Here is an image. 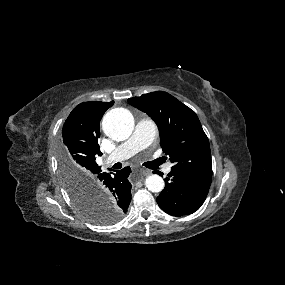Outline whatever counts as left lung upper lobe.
Here are the masks:
<instances>
[{
	"mask_svg": "<svg viewBox=\"0 0 285 285\" xmlns=\"http://www.w3.org/2000/svg\"><path fill=\"white\" fill-rule=\"evenodd\" d=\"M128 102L157 124L161 147L174 164L171 170L212 178L210 145L193 110L166 92H152Z\"/></svg>",
	"mask_w": 285,
	"mask_h": 285,
	"instance_id": "obj_1",
	"label": "left lung upper lobe"
}]
</instances>
